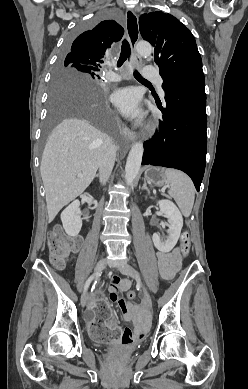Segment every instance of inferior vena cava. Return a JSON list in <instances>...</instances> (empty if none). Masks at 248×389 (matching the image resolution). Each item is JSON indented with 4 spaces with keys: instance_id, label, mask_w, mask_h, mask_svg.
Here are the masks:
<instances>
[{
    "instance_id": "inferior-vena-cava-1",
    "label": "inferior vena cava",
    "mask_w": 248,
    "mask_h": 389,
    "mask_svg": "<svg viewBox=\"0 0 248 389\" xmlns=\"http://www.w3.org/2000/svg\"><path fill=\"white\" fill-rule=\"evenodd\" d=\"M116 158V147L114 144L108 147L99 165V180L101 184H106L108 181Z\"/></svg>"
}]
</instances>
